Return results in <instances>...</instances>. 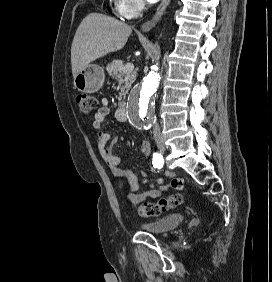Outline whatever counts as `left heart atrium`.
<instances>
[{
  "label": "left heart atrium",
  "mask_w": 272,
  "mask_h": 282,
  "mask_svg": "<svg viewBox=\"0 0 272 282\" xmlns=\"http://www.w3.org/2000/svg\"><path fill=\"white\" fill-rule=\"evenodd\" d=\"M151 3H155L156 1H158V0H149Z\"/></svg>",
  "instance_id": "39dd6f15"
}]
</instances>
